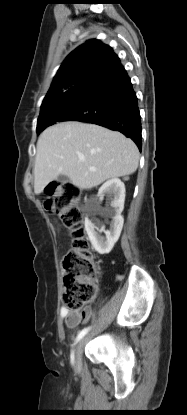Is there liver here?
I'll list each match as a JSON object with an SVG mask.
<instances>
[{"mask_svg":"<svg viewBox=\"0 0 187 415\" xmlns=\"http://www.w3.org/2000/svg\"><path fill=\"white\" fill-rule=\"evenodd\" d=\"M138 162L137 146L123 134L95 124L61 122L46 128L37 141L34 192L42 193L60 174L80 189H91L133 174Z\"/></svg>","mask_w":187,"mask_h":415,"instance_id":"1","label":"liver"}]
</instances>
